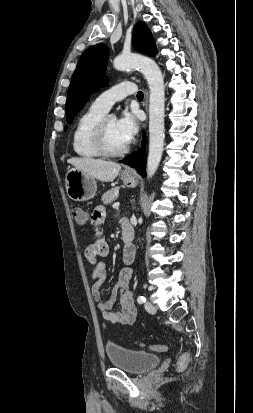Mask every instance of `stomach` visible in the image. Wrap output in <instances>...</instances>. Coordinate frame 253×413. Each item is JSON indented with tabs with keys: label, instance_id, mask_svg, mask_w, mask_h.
<instances>
[{
	"label": "stomach",
	"instance_id": "stomach-1",
	"mask_svg": "<svg viewBox=\"0 0 253 413\" xmlns=\"http://www.w3.org/2000/svg\"><path fill=\"white\" fill-rule=\"evenodd\" d=\"M123 183L133 188L137 185V179L132 174L121 173ZM65 187L67 195L74 201H87L94 197L97 190L96 179L77 168L68 169L65 175Z\"/></svg>",
	"mask_w": 253,
	"mask_h": 413
}]
</instances>
